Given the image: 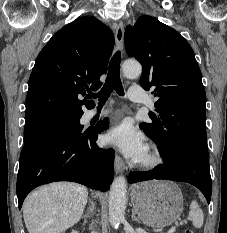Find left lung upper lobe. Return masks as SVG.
<instances>
[{
	"label": "left lung upper lobe",
	"mask_w": 227,
	"mask_h": 233,
	"mask_svg": "<svg viewBox=\"0 0 227 233\" xmlns=\"http://www.w3.org/2000/svg\"><path fill=\"white\" fill-rule=\"evenodd\" d=\"M129 56L143 66L140 84L158 99L142 123L146 135L167 157L181 147L208 156L205 128L206 93L202 74L188 42L174 29L150 16L125 30Z\"/></svg>",
	"instance_id": "5c2ea615"
}]
</instances>
